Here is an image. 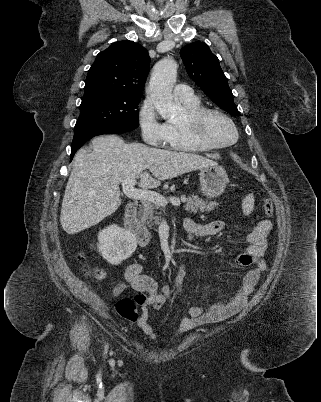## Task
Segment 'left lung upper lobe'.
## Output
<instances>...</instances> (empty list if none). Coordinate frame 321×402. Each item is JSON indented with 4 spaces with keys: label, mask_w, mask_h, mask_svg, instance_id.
Instances as JSON below:
<instances>
[{
    "label": "left lung upper lobe",
    "mask_w": 321,
    "mask_h": 402,
    "mask_svg": "<svg viewBox=\"0 0 321 402\" xmlns=\"http://www.w3.org/2000/svg\"><path fill=\"white\" fill-rule=\"evenodd\" d=\"M180 55L187 73L202 91L228 113L240 115L219 60L210 48L205 43L195 42L185 46Z\"/></svg>",
    "instance_id": "1"
}]
</instances>
